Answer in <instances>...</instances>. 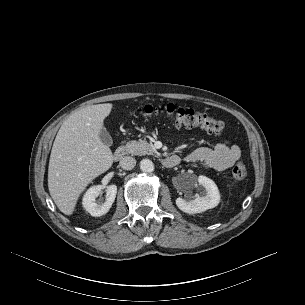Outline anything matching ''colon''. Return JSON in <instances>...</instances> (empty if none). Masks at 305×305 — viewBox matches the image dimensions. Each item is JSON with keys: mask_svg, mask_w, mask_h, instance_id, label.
<instances>
[{"mask_svg": "<svg viewBox=\"0 0 305 305\" xmlns=\"http://www.w3.org/2000/svg\"><path fill=\"white\" fill-rule=\"evenodd\" d=\"M144 117L169 121L177 127H200L211 133H222L226 130V123L208 114L191 108L179 107L173 103L162 105H146L140 109ZM247 169L244 163H238L232 171L235 180L246 177Z\"/></svg>", "mask_w": 305, "mask_h": 305, "instance_id": "1", "label": "colon"}]
</instances>
